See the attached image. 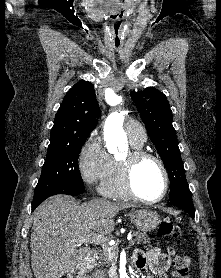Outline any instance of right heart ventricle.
<instances>
[{
	"label": "right heart ventricle",
	"mask_w": 221,
	"mask_h": 278,
	"mask_svg": "<svg viewBox=\"0 0 221 278\" xmlns=\"http://www.w3.org/2000/svg\"><path fill=\"white\" fill-rule=\"evenodd\" d=\"M131 146L133 149H142L144 142L131 140ZM101 191L112 198L124 199L129 198V195L124 191L118 175L117 163L114 162V166L108 176L101 184Z\"/></svg>",
	"instance_id": "e07e8e85"
}]
</instances>
